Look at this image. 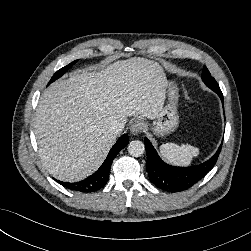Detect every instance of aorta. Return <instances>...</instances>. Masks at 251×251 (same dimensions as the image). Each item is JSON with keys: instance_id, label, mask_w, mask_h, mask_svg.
I'll return each mask as SVG.
<instances>
[{"instance_id": "1", "label": "aorta", "mask_w": 251, "mask_h": 251, "mask_svg": "<svg viewBox=\"0 0 251 251\" xmlns=\"http://www.w3.org/2000/svg\"><path fill=\"white\" fill-rule=\"evenodd\" d=\"M128 152L133 157H139L145 152V145L139 140H133L128 144Z\"/></svg>"}]
</instances>
